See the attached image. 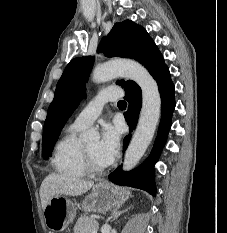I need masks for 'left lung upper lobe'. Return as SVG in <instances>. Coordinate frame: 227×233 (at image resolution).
I'll list each match as a JSON object with an SVG mask.
<instances>
[{
	"label": "left lung upper lobe",
	"instance_id": "5c2ea615",
	"mask_svg": "<svg viewBox=\"0 0 227 233\" xmlns=\"http://www.w3.org/2000/svg\"><path fill=\"white\" fill-rule=\"evenodd\" d=\"M98 51L107 57L132 58L143 64L155 78L166 66L154 41L146 30L130 20L115 23L108 36L102 40ZM91 56L72 59L57 83L43 129L42 149L46 159L52 155L60 131L85 96V83L93 66ZM124 90H135L139 86L131 81H117Z\"/></svg>",
	"mask_w": 227,
	"mask_h": 233
}]
</instances>
